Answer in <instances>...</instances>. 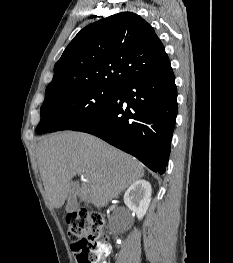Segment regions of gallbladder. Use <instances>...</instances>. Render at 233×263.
<instances>
[{
    "label": "gallbladder",
    "instance_id": "1",
    "mask_svg": "<svg viewBox=\"0 0 233 263\" xmlns=\"http://www.w3.org/2000/svg\"><path fill=\"white\" fill-rule=\"evenodd\" d=\"M72 192H77V188L75 185H72ZM78 208V202L77 199L71 195L67 201L65 210L67 213L75 212Z\"/></svg>",
    "mask_w": 233,
    "mask_h": 263
}]
</instances>
